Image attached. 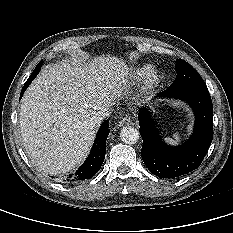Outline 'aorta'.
I'll return each mask as SVG.
<instances>
[{"label": "aorta", "instance_id": "aorta-1", "mask_svg": "<svg viewBox=\"0 0 233 233\" xmlns=\"http://www.w3.org/2000/svg\"><path fill=\"white\" fill-rule=\"evenodd\" d=\"M140 137L139 131L132 126H125L120 130V138L126 144H135Z\"/></svg>", "mask_w": 233, "mask_h": 233}]
</instances>
